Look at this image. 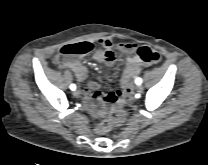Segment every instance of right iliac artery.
<instances>
[{"mask_svg": "<svg viewBox=\"0 0 208 165\" xmlns=\"http://www.w3.org/2000/svg\"><path fill=\"white\" fill-rule=\"evenodd\" d=\"M70 89H71V90H75V89H76L75 84H71Z\"/></svg>", "mask_w": 208, "mask_h": 165, "instance_id": "82829eb1", "label": "right iliac artery"}]
</instances>
